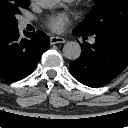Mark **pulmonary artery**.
<instances>
[{
    "mask_svg": "<svg viewBox=\"0 0 128 128\" xmlns=\"http://www.w3.org/2000/svg\"><path fill=\"white\" fill-rule=\"evenodd\" d=\"M66 1H69V2H70V1H73V0H66ZM29 23H30L29 20H23V21H22V25H23V26H26V25L29 24ZM91 42H94V39H92Z\"/></svg>",
    "mask_w": 128,
    "mask_h": 128,
    "instance_id": "pulmonary-artery-1",
    "label": "pulmonary artery"
}]
</instances>
